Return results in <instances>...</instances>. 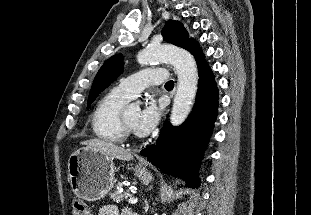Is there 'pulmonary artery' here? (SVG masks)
Returning <instances> with one entry per match:
<instances>
[{"instance_id": "1", "label": "pulmonary artery", "mask_w": 311, "mask_h": 215, "mask_svg": "<svg viewBox=\"0 0 311 215\" xmlns=\"http://www.w3.org/2000/svg\"><path fill=\"white\" fill-rule=\"evenodd\" d=\"M167 79V71L163 68H147L123 78L116 88L130 98H134L142 90L151 85L163 83Z\"/></svg>"}]
</instances>
